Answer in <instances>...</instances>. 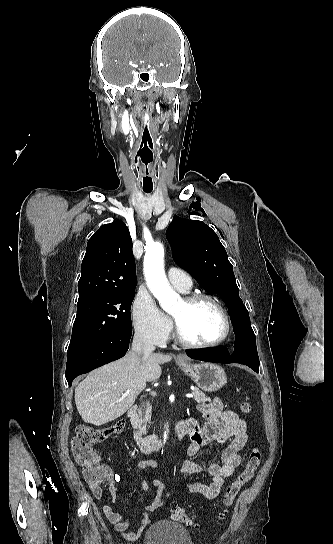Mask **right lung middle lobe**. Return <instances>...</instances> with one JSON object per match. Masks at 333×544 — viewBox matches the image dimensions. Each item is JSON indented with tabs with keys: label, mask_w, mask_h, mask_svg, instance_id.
I'll return each instance as SVG.
<instances>
[{
	"label": "right lung middle lobe",
	"mask_w": 333,
	"mask_h": 544,
	"mask_svg": "<svg viewBox=\"0 0 333 544\" xmlns=\"http://www.w3.org/2000/svg\"><path fill=\"white\" fill-rule=\"evenodd\" d=\"M134 297L135 290L110 291L79 301L67 357L111 334L131 329Z\"/></svg>",
	"instance_id": "obj_1"
}]
</instances>
